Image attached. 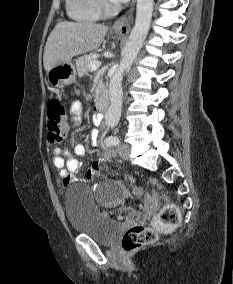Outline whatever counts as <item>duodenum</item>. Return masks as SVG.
I'll return each instance as SVG.
<instances>
[{
  "label": "duodenum",
  "instance_id": "410a0bca",
  "mask_svg": "<svg viewBox=\"0 0 233 284\" xmlns=\"http://www.w3.org/2000/svg\"><path fill=\"white\" fill-rule=\"evenodd\" d=\"M96 106L101 113L105 112L108 106V97L105 94L99 95L96 100Z\"/></svg>",
  "mask_w": 233,
  "mask_h": 284
}]
</instances>
